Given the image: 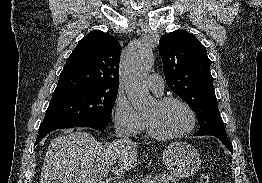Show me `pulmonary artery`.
<instances>
[{"mask_svg": "<svg viewBox=\"0 0 262 183\" xmlns=\"http://www.w3.org/2000/svg\"><path fill=\"white\" fill-rule=\"evenodd\" d=\"M148 86L157 95H161L164 90V80L163 78L158 74H151L148 77Z\"/></svg>", "mask_w": 262, "mask_h": 183, "instance_id": "pulmonary-artery-1", "label": "pulmonary artery"}]
</instances>
